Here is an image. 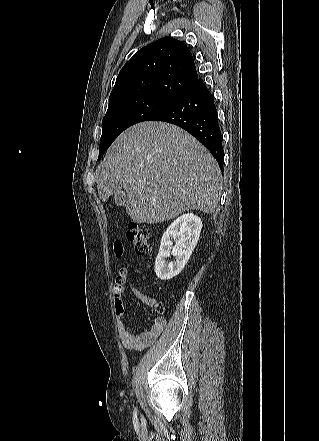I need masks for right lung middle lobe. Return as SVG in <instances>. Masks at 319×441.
I'll use <instances>...</instances> for the list:
<instances>
[{
  "label": "right lung middle lobe",
  "instance_id": "right-lung-middle-lobe-1",
  "mask_svg": "<svg viewBox=\"0 0 319 441\" xmlns=\"http://www.w3.org/2000/svg\"><path fill=\"white\" fill-rule=\"evenodd\" d=\"M171 101L154 96H144L109 107L102 121L98 160L120 133L136 123L149 120Z\"/></svg>",
  "mask_w": 319,
  "mask_h": 441
}]
</instances>
